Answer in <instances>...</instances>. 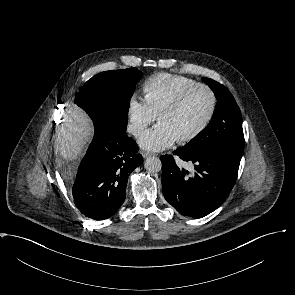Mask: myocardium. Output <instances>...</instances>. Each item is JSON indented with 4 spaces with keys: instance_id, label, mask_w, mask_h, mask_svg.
<instances>
[{
    "instance_id": "myocardium-1",
    "label": "myocardium",
    "mask_w": 295,
    "mask_h": 295,
    "mask_svg": "<svg viewBox=\"0 0 295 295\" xmlns=\"http://www.w3.org/2000/svg\"><path fill=\"white\" fill-rule=\"evenodd\" d=\"M197 89H205L209 93V95L211 97V108H210L207 118L194 132L178 139V141L182 144L194 141L200 135H202L207 130V128L211 125V123L216 115L217 109H218V96H217L215 90L210 85H208L206 83L197 82V83L193 84L192 86L186 88L183 92H181L158 115V119H159V121H161V119L164 116L178 111L183 106V104L186 102V100L189 98V96Z\"/></svg>"
}]
</instances>
